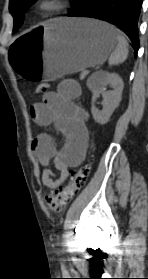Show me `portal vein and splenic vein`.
<instances>
[{"label": "portal vein and splenic vein", "mask_w": 148, "mask_h": 279, "mask_svg": "<svg viewBox=\"0 0 148 279\" xmlns=\"http://www.w3.org/2000/svg\"><path fill=\"white\" fill-rule=\"evenodd\" d=\"M89 73V71H84L83 74L86 76Z\"/></svg>", "instance_id": "obj_1"}]
</instances>
